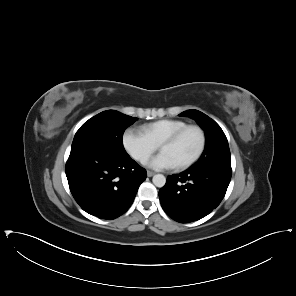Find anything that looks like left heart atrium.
<instances>
[{"label":"left heart atrium","instance_id":"39dd6f15","mask_svg":"<svg viewBox=\"0 0 296 296\" xmlns=\"http://www.w3.org/2000/svg\"><path fill=\"white\" fill-rule=\"evenodd\" d=\"M176 163H174L170 157L166 153H161L158 156L154 157L150 162L149 165L155 169L163 170V169H169L175 166Z\"/></svg>","mask_w":296,"mask_h":296}]
</instances>
